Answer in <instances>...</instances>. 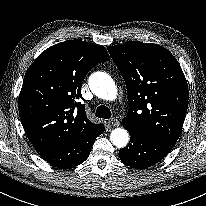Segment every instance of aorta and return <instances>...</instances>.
I'll return each mask as SVG.
<instances>
[{"mask_svg":"<svg viewBox=\"0 0 206 206\" xmlns=\"http://www.w3.org/2000/svg\"><path fill=\"white\" fill-rule=\"evenodd\" d=\"M89 86L92 92L101 99L114 100L117 97L115 82L107 73H93L89 79ZM110 140L114 146L123 148L128 144L129 134L124 128H116L111 132Z\"/></svg>","mask_w":206,"mask_h":206,"instance_id":"obj_1","label":"aorta"}]
</instances>
